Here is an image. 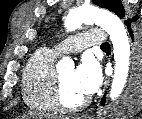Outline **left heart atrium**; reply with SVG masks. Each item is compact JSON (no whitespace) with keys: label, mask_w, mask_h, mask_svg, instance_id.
I'll return each mask as SVG.
<instances>
[{"label":"left heart atrium","mask_w":142,"mask_h":119,"mask_svg":"<svg viewBox=\"0 0 142 119\" xmlns=\"http://www.w3.org/2000/svg\"><path fill=\"white\" fill-rule=\"evenodd\" d=\"M100 71L95 63L83 61L73 72L74 88L83 96H89L99 87Z\"/></svg>","instance_id":"left-heart-atrium-1"}]
</instances>
